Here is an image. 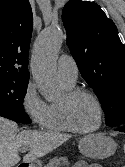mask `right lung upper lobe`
<instances>
[{
  "label": "right lung upper lobe",
  "mask_w": 125,
  "mask_h": 167,
  "mask_svg": "<svg viewBox=\"0 0 125 167\" xmlns=\"http://www.w3.org/2000/svg\"><path fill=\"white\" fill-rule=\"evenodd\" d=\"M32 28L28 0H0V79L28 82Z\"/></svg>",
  "instance_id": "1"
}]
</instances>
